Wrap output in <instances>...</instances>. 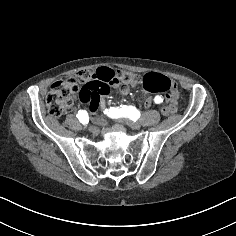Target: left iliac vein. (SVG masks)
Listing matches in <instances>:
<instances>
[{
    "instance_id": "obj_1",
    "label": "left iliac vein",
    "mask_w": 236,
    "mask_h": 236,
    "mask_svg": "<svg viewBox=\"0 0 236 236\" xmlns=\"http://www.w3.org/2000/svg\"><path fill=\"white\" fill-rule=\"evenodd\" d=\"M130 128H132L134 131H137L140 128V124L137 121H134L130 123Z\"/></svg>"
}]
</instances>
